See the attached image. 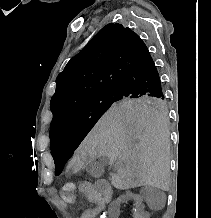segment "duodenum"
Wrapping results in <instances>:
<instances>
[{
    "instance_id": "1",
    "label": "duodenum",
    "mask_w": 211,
    "mask_h": 218,
    "mask_svg": "<svg viewBox=\"0 0 211 218\" xmlns=\"http://www.w3.org/2000/svg\"><path fill=\"white\" fill-rule=\"evenodd\" d=\"M96 187L102 194L104 200L107 202L111 198L112 190L109 183L105 180H99L96 182Z\"/></svg>"
}]
</instances>
